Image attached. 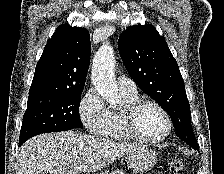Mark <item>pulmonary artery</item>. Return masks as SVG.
Masks as SVG:
<instances>
[{
  "label": "pulmonary artery",
  "instance_id": "pulmonary-artery-1",
  "mask_svg": "<svg viewBox=\"0 0 224 174\" xmlns=\"http://www.w3.org/2000/svg\"><path fill=\"white\" fill-rule=\"evenodd\" d=\"M117 85L119 90L128 95L137 94V86L133 80L125 76H119L117 78Z\"/></svg>",
  "mask_w": 224,
  "mask_h": 174
}]
</instances>
